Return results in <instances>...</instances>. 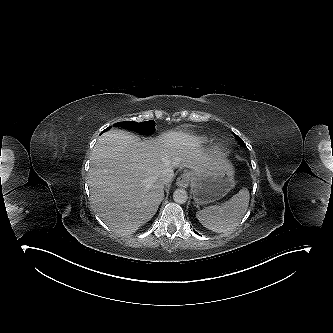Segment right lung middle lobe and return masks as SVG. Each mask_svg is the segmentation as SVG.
Returning <instances> with one entry per match:
<instances>
[{"mask_svg":"<svg viewBox=\"0 0 333 333\" xmlns=\"http://www.w3.org/2000/svg\"><path fill=\"white\" fill-rule=\"evenodd\" d=\"M115 125L126 128L132 131H135L137 133L143 134V135H149L152 134L155 131V122L154 120L145 121L141 123H137L134 121H124L116 123ZM111 127L106 128L104 131L110 129Z\"/></svg>","mask_w":333,"mask_h":333,"instance_id":"1","label":"right lung middle lobe"}]
</instances>
